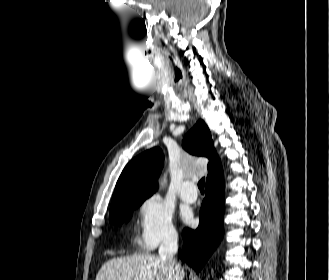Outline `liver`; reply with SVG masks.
Listing matches in <instances>:
<instances>
[{
	"instance_id": "liver-1",
	"label": "liver",
	"mask_w": 329,
	"mask_h": 280,
	"mask_svg": "<svg viewBox=\"0 0 329 280\" xmlns=\"http://www.w3.org/2000/svg\"><path fill=\"white\" fill-rule=\"evenodd\" d=\"M175 276V271L159 256L133 254L113 258L104 263L95 280H176ZM183 277L182 269L181 278Z\"/></svg>"
}]
</instances>
